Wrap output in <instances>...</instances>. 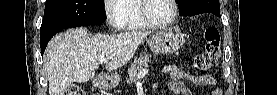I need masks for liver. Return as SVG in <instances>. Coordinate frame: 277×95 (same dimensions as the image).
Masks as SVG:
<instances>
[{"instance_id": "1", "label": "liver", "mask_w": 277, "mask_h": 95, "mask_svg": "<svg viewBox=\"0 0 277 95\" xmlns=\"http://www.w3.org/2000/svg\"><path fill=\"white\" fill-rule=\"evenodd\" d=\"M149 32H122L93 36L86 28H75L53 37L48 43L44 67L49 82V95H64L73 82L94 78L97 64L109 58L106 70L127 64Z\"/></svg>"}]
</instances>
